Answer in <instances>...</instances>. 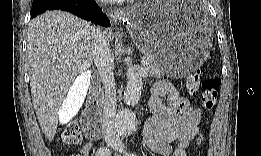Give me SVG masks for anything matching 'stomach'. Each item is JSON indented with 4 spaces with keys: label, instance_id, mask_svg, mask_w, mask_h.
Returning <instances> with one entry per match:
<instances>
[{
    "label": "stomach",
    "instance_id": "stomach-1",
    "mask_svg": "<svg viewBox=\"0 0 261 156\" xmlns=\"http://www.w3.org/2000/svg\"><path fill=\"white\" fill-rule=\"evenodd\" d=\"M189 10L186 3L143 2L127 12L125 23L132 39L170 77L193 72L212 45L210 23Z\"/></svg>",
    "mask_w": 261,
    "mask_h": 156
}]
</instances>
